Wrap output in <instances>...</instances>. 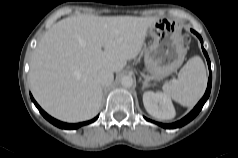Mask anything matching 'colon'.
<instances>
[{"instance_id":"5ec220e1","label":"colon","mask_w":238,"mask_h":158,"mask_svg":"<svg viewBox=\"0 0 238 158\" xmlns=\"http://www.w3.org/2000/svg\"><path fill=\"white\" fill-rule=\"evenodd\" d=\"M183 41L185 42V43H189V41H190V39H189V37L188 36H183Z\"/></svg>"}]
</instances>
